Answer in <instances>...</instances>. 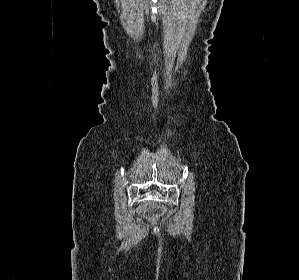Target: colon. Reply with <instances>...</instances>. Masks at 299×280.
<instances>
[{"label":"colon","mask_w":299,"mask_h":280,"mask_svg":"<svg viewBox=\"0 0 299 280\" xmlns=\"http://www.w3.org/2000/svg\"><path fill=\"white\" fill-rule=\"evenodd\" d=\"M161 214V210L160 209H155L152 213H151V216L154 218V217H157Z\"/></svg>","instance_id":"1"}]
</instances>
